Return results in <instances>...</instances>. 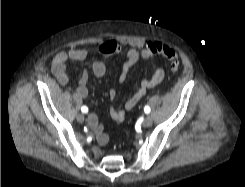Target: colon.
I'll return each mask as SVG.
<instances>
[{
    "label": "colon",
    "instance_id": "obj_1",
    "mask_svg": "<svg viewBox=\"0 0 245 187\" xmlns=\"http://www.w3.org/2000/svg\"><path fill=\"white\" fill-rule=\"evenodd\" d=\"M151 50L161 57L165 58L169 63L172 70H176L179 67L180 61L177 52L166 44L156 45Z\"/></svg>",
    "mask_w": 245,
    "mask_h": 187
}]
</instances>
